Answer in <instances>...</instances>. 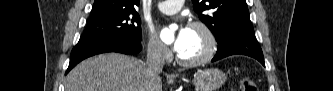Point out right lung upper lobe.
I'll return each instance as SVG.
<instances>
[{"mask_svg":"<svg viewBox=\"0 0 333 91\" xmlns=\"http://www.w3.org/2000/svg\"><path fill=\"white\" fill-rule=\"evenodd\" d=\"M139 0H95L90 18L103 17L135 10Z\"/></svg>","mask_w":333,"mask_h":91,"instance_id":"1","label":"right lung upper lobe"}]
</instances>
